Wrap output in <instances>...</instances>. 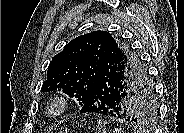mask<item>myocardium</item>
Listing matches in <instances>:
<instances>
[{
    "label": "myocardium",
    "mask_w": 184,
    "mask_h": 133,
    "mask_svg": "<svg viewBox=\"0 0 184 133\" xmlns=\"http://www.w3.org/2000/svg\"><path fill=\"white\" fill-rule=\"evenodd\" d=\"M69 109V101L63 95H55L47 105V112L53 117L63 115Z\"/></svg>",
    "instance_id": "1"
}]
</instances>
